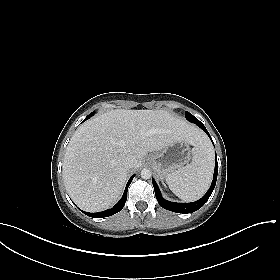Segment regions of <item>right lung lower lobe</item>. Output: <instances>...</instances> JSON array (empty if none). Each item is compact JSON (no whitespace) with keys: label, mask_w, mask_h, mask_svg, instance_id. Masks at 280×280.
I'll return each instance as SVG.
<instances>
[{"label":"right lung lower lobe","mask_w":280,"mask_h":280,"mask_svg":"<svg viewBox=\"0 0 280 280\" xmlns=\"http://www.w3.org/2000/svg\"><path fill=\"white\" fill-rule=\"evenodd\" d=\"M90 116H92V115L87 116L85 120H87ZM133 178H134V175L129 179L122 198L120 199V201L115 206H113V208L102 211V212H97V213H88V212H84V211H82V212L84 214H86L87 216H90V217H93V218L108 217V216H111L113 214H116L117 212L122 210V208L125 205V202H126V199H127V190H128V187H129Z\"/></svg>","instance_id":"right-lung-lower-lobe-1"}]
</instances>
